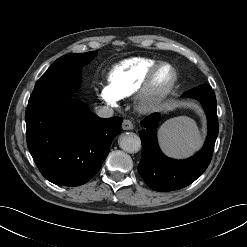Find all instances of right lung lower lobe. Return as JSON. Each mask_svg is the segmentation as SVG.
Wrapping results in <instances>:
<instances>
[{
	"instance_id": "1",
	"label": "right lung lower lobe",
	"mask_w": 247,
	"mask_h": 247,
	"mask_svg": "<svg viewBox=\"0 0 247 247\" xmlns=\"http://www.w3.org/2000/svg\"><path fill=\"white\" fill-rule=\"evenodd\" d=\"M28 149L42 175L62 186H80L101 168L122 118H100L69 95L29 99Z\"/></svg>"
}]
</instances>
